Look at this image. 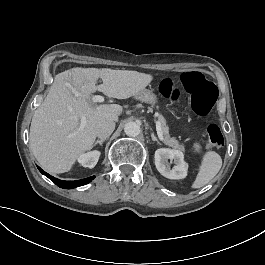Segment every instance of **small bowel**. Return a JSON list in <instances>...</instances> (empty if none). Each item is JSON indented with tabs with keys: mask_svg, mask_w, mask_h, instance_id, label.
Here are the masks:
<instances>
[{
	"mask_svg": "<svg viewBox=\"0 0 265 265\" xmlns=\"http://www.w3.org/2000/svg\"><path fill=\"white\" fill-rule=\"evenodd\" d=\"M195 150L197 152H202V146L199 143L195 144Z\"/></svg>",
	"mask_w": 265,
	"mask_h": 265,
	"instance_id": "c3829d8e",
	"label": "small bowel"
}]
</instances>
